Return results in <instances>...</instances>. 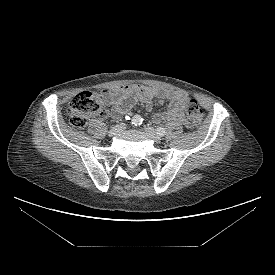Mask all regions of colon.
Wrapping results in <instances>:
<instances>
[{"label": "colon", "mask_w": 275, "mask_h": 275, "mask_svg": "<svg viewBox=\"0 0 275 275\" xmlns=\"http://www.w3.org/2000/svg\"><path fill=\"white\" fill-rule=\"evenodd\" d=\"M106 110L103 95L97 92L83 91L75 95L68 106V115L71 125L75 128H83L87 119L95 113H103ZM203 111L199 104L190 99L187 102V119L191 126H198L203 120Z\"/></svg>", "instance_id": "colon-1"}]
</instances>
